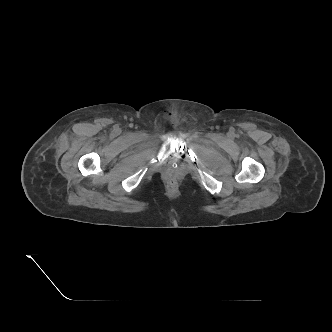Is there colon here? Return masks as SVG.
<instances>
[{
    "instance_id": "5ec220e1",
    "label": "colon",
    "mask_w": 332,
    "mask_h": 332,
    "mask_svg": "<svg viewBox=\"0 0 332 332\" xmlns=\"http://www.w3.org/2000/svg\"><path fill=\"white\" fill-rule=\"evenodd\" d=\"M170 183H171V184H173V183H174V181H173V180H170Z\"/></svg>"
}]
</instances>
